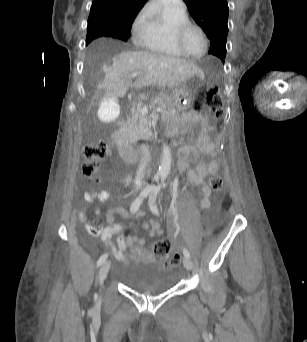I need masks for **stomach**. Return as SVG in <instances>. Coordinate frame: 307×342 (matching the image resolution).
I'll return each instance as SVG.
<instances>
[{"mask_svg":"<svg viewBox=\"0 0 307 342\" xmlns=\"http://www.w3.org/2000/svg\"><path fill=\"white\" fill-rule=\"evenodd\" d=\"M202 77L194 76L177 86L172 92L174 106L179 111L186 110L194 99V96L201 86Z\"/></svg>","mask_w":307,"mask_h":342,"instance_id":"stomach-1","label":"stomach"}]
</instances>
